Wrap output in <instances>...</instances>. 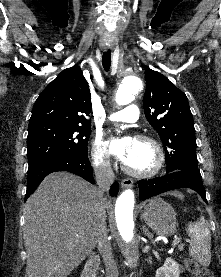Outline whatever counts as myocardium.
Segmentation results:
<instances>
[{"instance_id": "f54148a6", "label": "myocardium", "mask_w": 221, "mask_h": 277, "mask_svg": "<svg viewBox=\"0 0 221 277\" xmlns=\"http://www.w3.org/2000/svg\"><path fill=\"white\" fill-rule=\"evenodd\" d=\"M137 141L148 143L154 150L156 155V160L154 166L147 171H136L129 168L124 162L121 163L122 170L130 176L136 178H150L155 176L160 172L164 164V152L161 145L152 137L147 135H138L136 137Z\"/></svg>"}]
</instances>
